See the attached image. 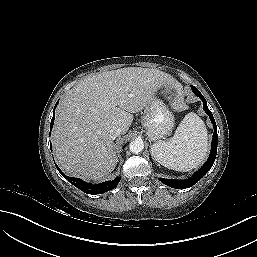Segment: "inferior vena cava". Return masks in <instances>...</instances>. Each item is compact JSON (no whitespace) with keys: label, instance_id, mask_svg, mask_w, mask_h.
<instances>
[{"label":"inferior vena cava","instance_id":"inferior-vena-cava-1","mask_svg":"<svg viewBox=\"0 0 257 257\" xmlns=\"http://www.w3.org/2000/svg\"><path fill=\"white\" fill-rule=\"evenodd\" d=\"M121 134H122V129L120 127L113 129L111 133L113 139L117 138Z\"/></svg>","mask_w":257,"mask_h":257}]
</instances>
